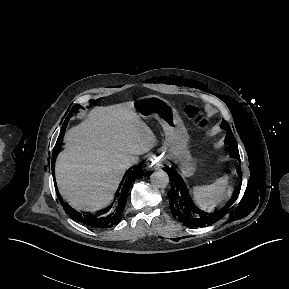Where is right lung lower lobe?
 I'll return each mask as SVG.
<instances>
[{
  "label": "right lung lower lobe",
  "instance_id": "right-lung-lower-lobe-1",
  "mask_svg": "<svg viewBox=\"0 0 289 289\" xmlns=\"http://www.w3.org/2000/svg\"><path fill=\"white\" fill-rule=\"evenodd\" d=\"M66 126H67V124L63 125L62 130L60 132V135L58 137L57 143L55 145L54 151H53V158H52V164H53L52 172L53 173H54V169H55V160H56V157L58 155V152L61 149L60 139L62 137V134L66 131V129H65ZM142 166H143V164L139 165L138 167H135L134 169L130 168L126 172L124 179L120 183L119 188H118L116 195H115L114 200H116V203L114 206L113 205L110 206L105 214L83 216L79 212H77L75 209H73L71 206L66 204L62 200L59 192L57 191L58 199H59L61 205L63 206L65 212L71 218H73L75 221H78L80 223H83L84 225H88V226L96 227V228L113 227L115 224H117L121 220L122 212L124 210V206L126 203L127 193H128V190H129L132 182L136 178H138L144 174V172L142 171Z\"/></svg>",
  "mask_w": 289,
  "mask_h": 289
}]
</instances>
